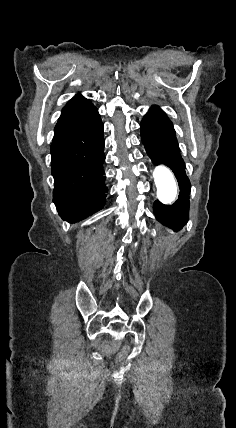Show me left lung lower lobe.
Here are the masks:
<instances>
[{
    "instance_id": "1",
    "label": "left lung lower lobe",
    "mask_w": 236,
    "mask_h": 428,
    "mask_svg": "<svg viewBox=\"0 0 236 428\" xmlns=\"http://www.w3.org/2000/svg\"><path fill=\"white\" fill-rule=\"evenodd\" d=\"M141 139L154 165L164 164L174 173L180 188L178 200L173 205L154 202L156 219L175 231H179L189 218L190 181L185 172V163L180 155L175 130L167 115L157 106H152L141 124Z\"/></svg>"
}]
</instances>
